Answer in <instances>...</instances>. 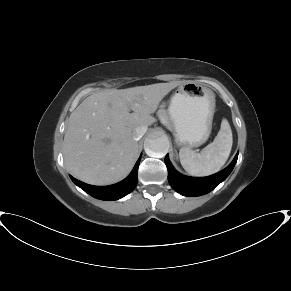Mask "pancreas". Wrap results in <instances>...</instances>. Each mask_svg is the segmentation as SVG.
<instances>
[{"mask_svg": "<svg viewBox=\"0 0 291 291\" xmlns=\"http://www.w3.org/2000/svg\"><path fill=\"white\" fill-rule=\"evenodd\" d=\"M160 119L163 121V122H166L167 124H169V119H168V114L167 112L165 111V109H161L160 111Z\"/></svg>", "mask_w": 291, "mask_h": 291, "instance_id": "pancreas-1", "label": "pancreas"}]
</instances>
